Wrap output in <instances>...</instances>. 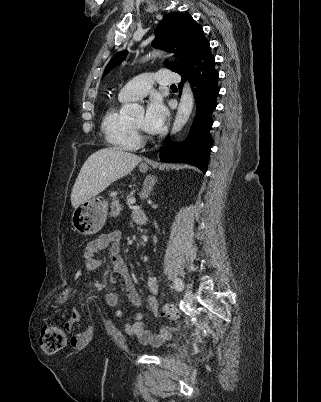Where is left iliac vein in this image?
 Returning <instances> with one entry per match:
<instances>
[{"label": "left iliac vein", "instance_id": "1", "mask_svg": "<svg viewBox=\"0 0 321 402\" xmlns=\"http://www.w3.org/2000/svg\"><path fill=\"white\" fill-rule=\"evenodd\" d=\"M195 296L191 289H186L184 294V302L187 306L191 307L193 305Z\"/></svg>", "mask_w": 321, "mask_h": 402}]
</instances>
